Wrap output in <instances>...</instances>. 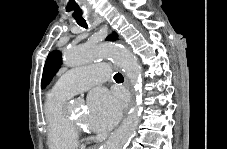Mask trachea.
I'll return each mask as SVG.
<instances>
[{"instance_id": "1", "label": "trachea", "mask_w": 227, "mask_h": 149, "mask_svg": "<svg viewBox=\"0 0 227 149\" xmlns=\"http://www.w3.org/2000/svg\"><path fill=\"white\" fill-rule=\"evenodd\" d=\"M77 23H78V25H80V26L83 27V28H88V25H87V23H86L85 20L77 21ZM114 80H115L116 82H121V81H123V76H122V74H120V73L115 74V75H114Z\"/></svg>"}]
</instances>
